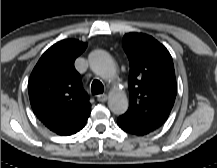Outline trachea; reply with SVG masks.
<instances>
[{"label": "trachea", "instance_id": "3493384b", "mask_svg": "<svg viewBox=\"0 0 217 168\" xmlns=\"http://www.w3.org/2000/svg\"><path fill=\"white\" fill-rule=\"evenodd\" d=\"M91 91L93 95H97L104 92V86L99 80H94L91 84Z\"/></svg>", "mask_w": 217, "mask_h": 168}]
</instances>
